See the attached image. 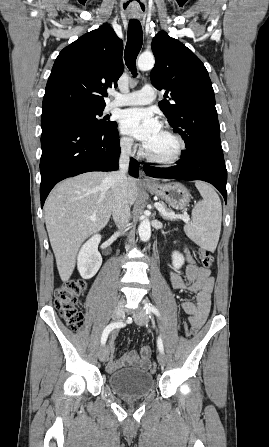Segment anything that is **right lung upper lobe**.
Instances as JSON below:
<instances>
[{
	"label": "right lung upper lobe",
	"mask_w": 269,
	"mask_h": 447,
	"mask_svg": "<svg viewBox=\"0 0 269 447\" xmlns=\"http://www.w3.org/2000/svg\"><path fill=\"white\" fill-rule=\"evenodd\" d=\"M123 42L103 24L65 47L48 79L42 111L74 105H105L108 87L123 73Z\"/></svg>",
	"instance_id": "cb5924a9"
}]
</instances>
